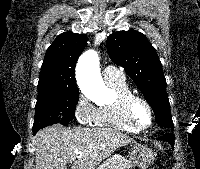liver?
Wrapping results in <instances>:
<instances>
[{"label": "liver", "mask_w": 200, "mask_h": 169, "mask_svg": "<svg viewBox=\"0 0 200 169\" xmlns=\"http://www.w3.org/2000/svg\"><path fill=\"white\" fill-rule=\"evenodd\" d=\"M35 169H96L118 148L135 140L107 128H64L52 125L41 129L33 139Z\"/></svg>", "instance_id": "liver-1"}]
</instances>
